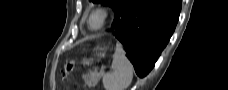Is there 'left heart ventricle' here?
Returning <instances> with one entry per match:
<instances>
[{"mask_svg": "<svg viewBox=\"0 0 228 90\" xmlns=\"http://www.w3.org/2000/svg\"><path fill=\"white\" fill-rule=\"evenodd\" d=\"M99 24V18L98 17H94L92 20H91V26L95 27Z\"/></svg>", "mask_w": 228, "mask_h": 90, "instance_id": "left-heart-ventricle-1", "label": "left heart ventricle"}]
</instances>
